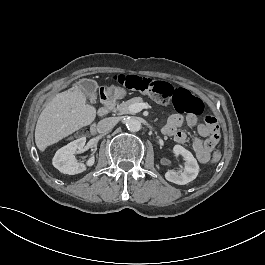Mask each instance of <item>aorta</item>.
I'll use <instances>...</instances> for the list:
<instances>
[{
	"instance_id": "obj_1",
	"label": "aorta",
	"mask_w": 265,
	"mask_h": 265,
	"mask_svg": "<svg viewBox=\"0 0 265 265\" xmlns=\"http://www.w3.org/2000/svg\"><path fill=\"white\" fill-rule=\"evenodd\" d=\"M126 126L129 131L137 132L141 129V121L138 117H132L127 120Z\"/></svg>"
}]
</instances>
